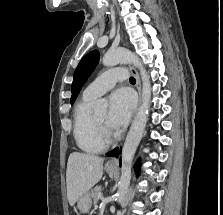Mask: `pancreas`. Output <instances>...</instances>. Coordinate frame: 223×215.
Masks as SVG:
<instances>
[{"label": "pancreas", "mask_w": 223, "mask_h": 215, "mask_svg": "<svg viewBox=\"0 0 223 215\" xmlns=\"http://www.w3.org/2000/svg\"><path fill=\"white\" fill-rule=\"evenodd\" d=\"M93 193L91 194L92 195V198H93V201H97V195L100 191H102V185H96V187H93Z\"/></svg>", "instance_id": "1"}]
</instances>
